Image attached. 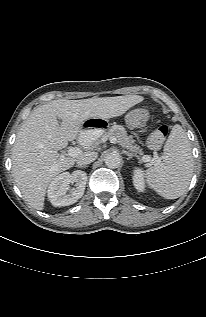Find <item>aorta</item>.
Returning <instances> with one entry per match:
<instances>
[{"instance_id": "obj_1", "label": "aorta", "mask_w": 206, "mask_h": 317, "mask_svg": "<svg viewBox=\"0 0 206 317\" xmlns=\"http://www.w3.org/2000/svg\"><path fill=\"white\" fill-rule=\"evenodd\" d=\"M121 163V157L118 153H109L108 155H106L105 157V164L108 168H118L120 166Z\"/></svg>"}]
</instances>
